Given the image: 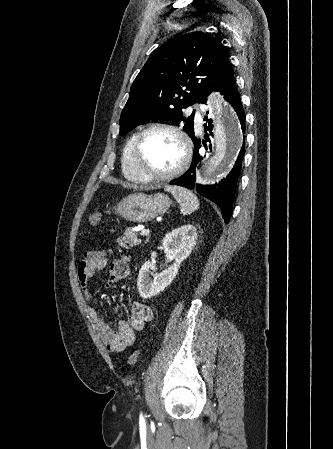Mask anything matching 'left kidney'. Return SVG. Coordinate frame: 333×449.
I'll use <instances>...</instances> for the list:
<instances>
[{
    "mask_svg": "<svg viewBox=\"0 0 333 449\" xmlns=\"http://www.w3.org/2000/svg\"><path fill=\"white\" fill-rule=\"evenodd\" d=\"M198 238L193 225L181 226L166 234L162 240L164 252L172 256L175 263L162 272H157L156 265L147 261L139 271L137 286L140 296L150 298L167 288L176 278L180 265L192 252Z\"/></svg>",
    "mask_w": 333,
    "mask_h": 449,
    "instance_id": "5707ae66",
    "label": "left kidney"
}]
</instances>
